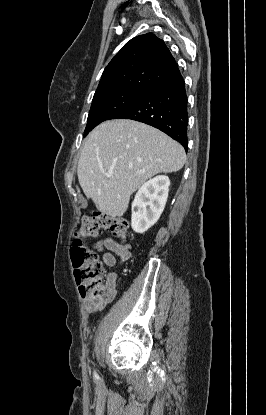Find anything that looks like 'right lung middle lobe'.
Here are the masks:
<instances>
[{
  "instance_id": "right-lung-middle-lobe-1",
  "label": "right lung middle lobe",
  "mask_w": 266,
  "mask_h": 415,
  "mask_svg": "<svg viewBox=\"0 0 266 415\" xmlns=\"http://www.w3.org/2000/svg\"><path fill=\"white\" fill-rule=\"evenodd\" d=\"M150 91L139 89H113L96 93L89 111L84 136L115 113L143 99Z\"/></svg>"
}]
</instances>
